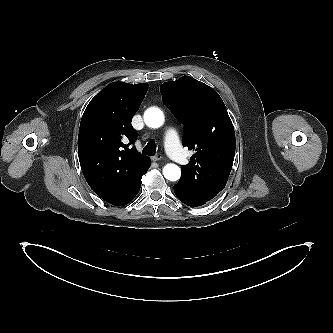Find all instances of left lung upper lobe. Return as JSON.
<instances>
[{"label": "left lung upper lobe", "mask_w": 333, "mask_h": 333, "mask_svg": "<svg viewBox=\"0 0 333 333\" xmlns=\"http://www.w3.org/2000/svg\"><path fill=\"white\" fill-rule=\"evenodd\" d=\"M163 102L184 125L183 146L195 150L181 166L179 182L208 201L227 183L235 155V133L219 94L190 76L160 86Z\"/></svg>", "instance_id": "left-lung-upper-lobe-1"}]
</instances>
